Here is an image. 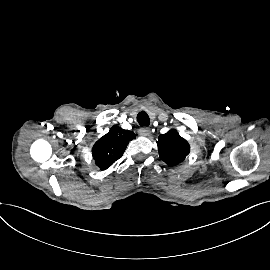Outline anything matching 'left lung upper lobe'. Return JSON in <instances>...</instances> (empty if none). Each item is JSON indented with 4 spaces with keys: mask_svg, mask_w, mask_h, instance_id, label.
Returning a JSON list of instances; mask_svg holds the SVG:
<instances>
[{
    "mask_svg": "<svg viewBox=\"0 0 270 270\" xmlns=\"http://www.w3.org/2000/svg\"><path fill=\"white\" fill-rule=\"evenodd\" d=\"M157 145L160 158L170 166L182 162L190 152L189 143L175 129L160 135Z\"/></svg>",
    "mask_w": 270,
    "mask_h": 270,
    "instance_id": "5c2ea615",
    "label": "left lung upper lobe"
}]
</instances>
